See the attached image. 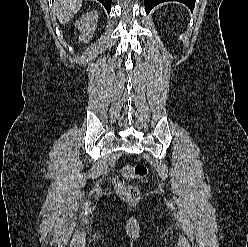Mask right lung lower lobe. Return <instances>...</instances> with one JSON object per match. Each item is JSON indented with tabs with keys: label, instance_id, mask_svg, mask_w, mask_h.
I'll return each mask as SVG.
<instances>
[{
	"label": "right lung lower lobe",
	"instance_id": "obj_1",
	"mask_svg": "<svg viewBox=\"0 0 248 247\" xmlns=\"http://www.w3.org/2000/svg\"><path fill=\"white\" fill-rule=\"evenodd\" d=\"M99 2H101L104 7L107 9V12L110 13L111 11V0H98Z\"/></svg>",
	"mask_w": 248,
	"mask_h": 247
}]
</instances>
